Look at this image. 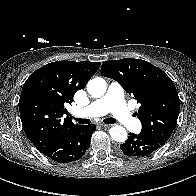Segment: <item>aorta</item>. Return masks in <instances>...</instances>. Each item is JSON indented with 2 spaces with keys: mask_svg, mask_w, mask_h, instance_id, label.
Returning a JSON list of instances; mask_svg holds the SVG:
<instances>
[{
  "mask_svg": "<svg viewBox=\"0 0 196 196\" xmlns=\"http://www.w3.org/2000/svg\"><path fill=\"white\" fill-rule=\"evenodd\" d=\"M107 89L106 82L103 78H94L91 79L87 84V91L88 93L95 97L100 98L102 97ZM110 136L113 140L117 142H125L127 139V132L124 127L115 125L110 128L109 130Z\"/></svg>",
  "mask_w": 196,
  "mask_h": 196,
  "instance_id": "aorta-1",
  "label": "aorta"
}]
</instances>
